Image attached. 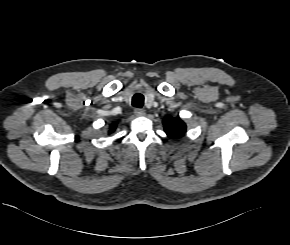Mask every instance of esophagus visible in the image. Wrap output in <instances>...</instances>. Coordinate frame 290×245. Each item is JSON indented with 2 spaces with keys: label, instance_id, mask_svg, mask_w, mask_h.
<instances>
[{
  "label": "esophagus",
  "instance_id": "esophagus-1",
  "mask_svg": "<svg viewBox=\"0 0 290 245\" xmlns=\"http://www.w3.org/2000/svg\"><path fill=\"white\" fill-rule=\"evenodd\" d=\"M134 114H135L137 117L144 116V115H145V111H144L143 109L136 108V109L134 110Z\"/></svg>",
  "mask_w": 290,
  "mask_h": 245
}]
</instances>
